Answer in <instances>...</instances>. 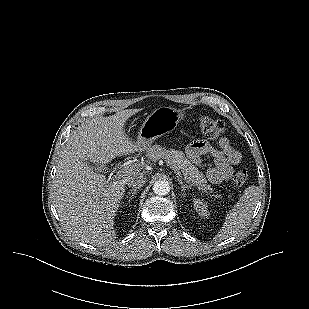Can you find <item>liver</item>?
I'll list each match as a JSON object with an SVG mask.
<instances>
[{
  "label": "liver",
  "instance_id": "1",
  "mask_svg": "<svg viewBox=\"0 0 309 309\" xmlns=\"http://www.w3.org/2000/svg\"><path fill=\"white\" fill-rule=\"evenodd\" d=\"M140 109L86 120L63 147L53 185V200L65 229L81 242L104 246L115 240L114 218L125 192L123 177L106 180L90 162L104 165L143 149L125 133L126 121Z\"/></svg>",
  "mask_w": 309,
  "mask_h": 309
}]
</instances>
